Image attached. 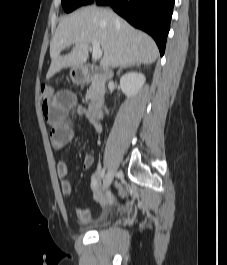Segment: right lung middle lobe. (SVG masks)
<instances>
[{
	"label": "right lung middle lobe",
	"instance_id": "right-lung-middle-lobe-1",
	"mask_svg": "<svg viewBox=\"0 0 227 265\" xmlns=\"http://www.w3.org/2000/svg\"><path fill=\"white\" fill-rule=\"evenodd\" d=\"M92 0H62V6L65 12H71L79 6L91 3Z\"/></svg>",
	"mask_w": 227,
	"mask_h": 265
}]
</instances>
